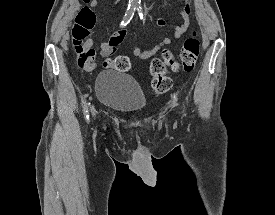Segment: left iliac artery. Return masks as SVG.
Returning <instances> with one entry per match:
<instances>
[{
  "label": "left iliac artery",
  "instance_id": "left-iliac-artery-1",
  "mask_svg": "<svg viewBox=\"0 0 275 215\" xmlns=\"http://www.w3.org/2000/svg\"><path fill=\"white\" fill-rule=\"evenodd\" d=\"M138 12H139V16L140 18L143 20V12H142V8L141 7H138L137 8Z\"/></svg>",
  "mask_w": 275,
  "mask_h": 215
}]
</instances>
